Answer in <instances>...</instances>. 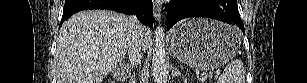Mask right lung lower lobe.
<instances>
[{
	"instance_id": "98d812e1",
	"label": "right lung lower lobe",
	"mask_w": 307,
	"mask_h": 83,
	"mask_svg": "<svg viewBox=\"0 0 307 83\" xmlns=\"http://www.w3.org/2000/svg\"><path fill=\"white\" fill-rule=\"evenodd\" d=\"M152 8V0H66L60 27L67 18L79 11L108 9L128 14L133 12L138 20L152 28Z\"/></svg>"
}]
</instances>
